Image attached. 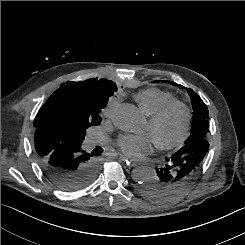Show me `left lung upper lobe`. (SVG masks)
Instances as JSON below:
<instances>
[{
	"instance_id": "left-lung-upper-lobe-1",
	"label": "left lung upper lobe",
	"mask_w": 245,
	"mask_h": 245,
	"mask_svg": "<svg viewBox=\"0 0 245 245\" xmlns=\"http://www.w3.org/2000/svg\"><path fill=\"white\" fill-rule=\"evenodd\" d=\"M155 82L157 83L158 81ZM161 82L169 83L173 86L177 85L175 82L169 80H162ZM178 87L184 88L182 85H178ZM188 94L190 95L193 106V122L191 134L185 141V144L199 139H205L209 126L208 108L205 103L192 89H188Z\"/></svg>"
}]
</instances>
